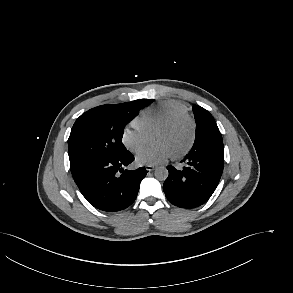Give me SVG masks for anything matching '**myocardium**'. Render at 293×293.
<instances>
[{
    "label": "myocardium",
    "instance_id": "f54148a6",
    "mask_svg": "<svg viewBox=\"0 0 293 293\" xmlns=\"http://www.w3.org/2000/svg\"><path fill=\"white\" fill-rule=\"evenodd\" d=\"M183 121H187L190 124V127H191L190 140H189L187 146L182 151H180L176 154H173V158H175V159H180V158L184 157L185 155H187L195 143L196 122H195L194 118L188 113L178 114V115L172 117L171 119H169L168 121L164 122L160 126H158L155 130V131L168 130Z\"/></svg>",
    "mask_w": 293,
    "mask_h": 293
}]
</instances>
